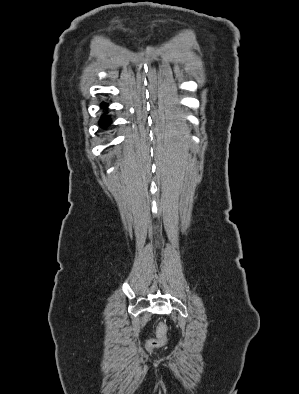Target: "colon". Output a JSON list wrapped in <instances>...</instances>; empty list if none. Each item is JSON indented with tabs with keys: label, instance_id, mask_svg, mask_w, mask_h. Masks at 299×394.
I'll list each match as a JSON object with an SVG mask.
<instances>
[{
	"label": "colon",
	"instance_id": "1",
	"mask_svg": "<svg viewBox=\"0 0 299 394\" xmlns=\"http://www.w3.org/2000/svg\"><path fill=\"white\" fill-rule=\"evenodd\" d=\"M167 326L160 322L157 326V335L155 338H152L146 342V348L149 351H153L160 347H163L167 343Z\"/></svg>",
	"mask_w": 299,
	"mask_h": 394
}]
</instances>
